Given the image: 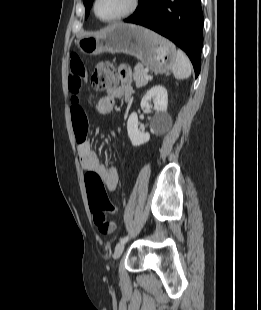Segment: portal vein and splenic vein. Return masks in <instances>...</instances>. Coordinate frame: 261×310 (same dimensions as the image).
Masks as SVG:
<instances>
[{
	"mask_svg": "<svg viewBox=\"0 0 261 310\" xmlns=\"http://www.w3.org/2000/svg\"><path fill=\"white\" fill-rule=\"evenodd\" d=\"M145 78H146L147 80H150L152 77H151L150 75H146Z\"/></svg>",
	"mask_w": 261,
	"mask_h": 310,
	"instance_id": "portal-vein-and-splenic-vein-1",
	"label": "portal vein and splenic vein"
}]
</instances>
